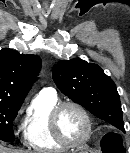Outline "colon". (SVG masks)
Wrapping results in <instances>:
<instances>
[{
    "label": "colon",
    "instance_id": "colon-1",
    "mask_svg": "<svg viewBox=\"0 0 130 153\" xmlns=\"http://www.w3.org/2000/svg\"><path fill=\"white\" fill-rule=\"evenodd\" d=\"M103 153H125L122 139L113 133H109L102 140Z\"/></svg>",
    "mask_w": 130,
    "mask_h": 153
}]
</instances>
